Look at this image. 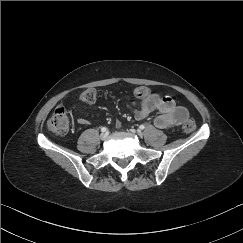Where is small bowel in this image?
Instances as JSON below:
<instances>
[{
	"instance_id": "c3829d8e",
	"label": "small bowel",
	"mask_w": 243,
	"mask_h": 243,
	"mask_svg": "<svg viewBox=\"0 0 243 243\" xmlns=\"http://www.w3.org/2000/svg\"><path fill=\"white\" fill-rule=\"evenodd\" d=\"M77 110V106L74 105ZM155 111L161 112L154 119V125L159 129H165L173 126L181 125L188 119L189 113L186 107L177 105L175 100L168 95H158L151 93L146 88V94L141 97L139 105H133L134 117L137 120L148 118ZM79 124H85L86 120L83 117H78ZM117 129L122 127L121 122L115 123Z\"/></svg>"
}]
</instances>
